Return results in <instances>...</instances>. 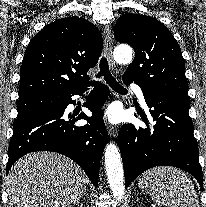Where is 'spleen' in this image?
<instances>
[{
	"label": "spleen",
	"instance_id": "spleen-1",
	"mask_svg": "<svg viewBox=\"0 0 206 207\" xmlns=\"http://www.w3.org/2000/svg\"><path fill=\"white\" fill-rule=\"evenodd\" d=\"M139 187L154 203L167 207H200L194 184L174 167H156L139 178Z\"/></svg>",
	"mask_w": 206,
	"mask_h": 207
}]
</instances>
